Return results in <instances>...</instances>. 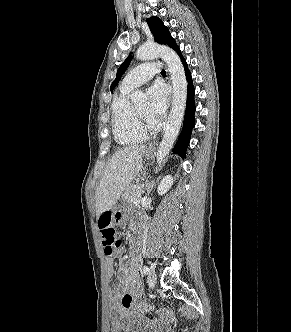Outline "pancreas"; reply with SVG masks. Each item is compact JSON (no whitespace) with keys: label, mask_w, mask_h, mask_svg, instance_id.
<instances>
[{"label":"pancreas","mask_w":291,"mask_h":332,"mask_svg":"<svg viewBox=\"0 0 291 332\" xmlns=\"http://www.w3.org/2000/svg\"><path fill=\"white\" fill-rule=\"evenodd\" d=\"M143 193V184L129 185L122 195L123 202L131 205L135 200H139Z\"/></svg>","instance_id":"1"}]
</instances>
